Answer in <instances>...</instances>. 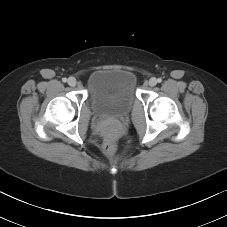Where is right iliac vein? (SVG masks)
<instances>
[{
    "mask_svg": "<svg viewBox=\"0 0 227 227\" xmlns=\"http://www.w3.org/2000/svg\"><path fill=\"white\" fill-rule=\"evenodd\" d=\"M68 84H69L71 87H74V86H76L77 81H76V79H75L74 77H70V78L68 79Z\"/></svg>",
    "mask_w": 227,
    "mask_h": 227,
    "instance_id": "63e3f726",
    "label": "right iliac vein"
}]
</instances>
